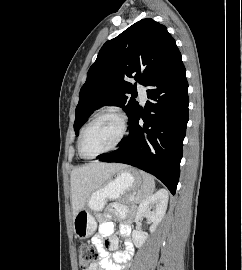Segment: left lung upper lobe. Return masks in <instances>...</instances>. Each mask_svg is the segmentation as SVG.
<instances>
[{
    "mask_svg": "<svg viewBox=\"0 0 242 270\" xmlns=\"http://www.w3.org/2000/svg\"><path fill=\"white\" fill-rule=\"evenodd\" d=\"M181 54L164 25L151 18L142 19L116 38L107 41L90 67L80 90L74 122L75 133L92 112L105 105L119 106L129 122L139 109L133 98V77L146 86L166 65Z\"/></svg>",
    "mask_w": 242,
    "mask_h": 270,
    "instance_id": "1",
    "label": "left lung upper lobe"
}]
</instances>
